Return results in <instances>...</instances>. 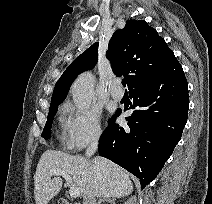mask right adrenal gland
<instances>
[{"mask_svg": "<svg viewBox=\"0 0 212 204\" xmlns=\"http://www.w3.org/2000/svg\"><path fill=\"white\" fill-rule=\"evenodd\" d=\"M102 202H108L110 204H115L114 198H100L97 204H101Z\"/></svg>", "mask_w": 212, "mask_h": 204, "instance_id": "2a0ac1e0", "label": "right adrenal gland"}]
</instances>
